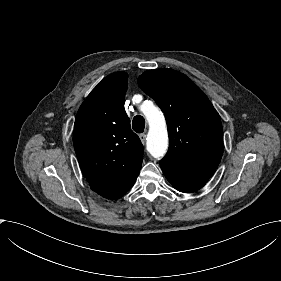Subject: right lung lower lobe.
<instances>
[{
  "mask_svg": "<svg viewBox=\"0 0 281 281\" xmlns=\"http://www.w3.org/2000/svg\"><path fill=\"white\" fill-rule=\"evenodd\" d=\"M139 172H137L132 178L131 180L125 184L112 198L110 199H118L120 197H122L125 193H127L129 191V189L133 186V184L135 183L136 181V178L138 176Z\"/></svg>",
  "mask_w": 281,
  "mask_h": 281,
  "instance_id": "obj_1",
  "label": "right lung lower lobe"
}]
</instances>
